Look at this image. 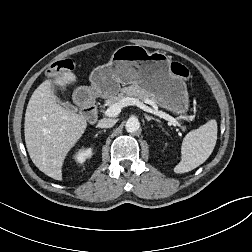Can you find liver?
<instances>
[{
    "mask_svg": "<svg viewBox=\"0 0 252 252\" xmlns=\"http://www.w3.org/2000/svg\"><path fill=\"white\" fill-rule=\"evenodd\" d=\"M76 81L72 72L46 80L33 92L25 113L24 134L29 156L40 171L59 181L66 155L87 128L82 115L55 101L58 87Z\"/></svg>",
    "mask_w": 252,
    "mask_h": 252,
    "instance_id": "6515ba94",
    "label": "liver"
}]
</instances>
